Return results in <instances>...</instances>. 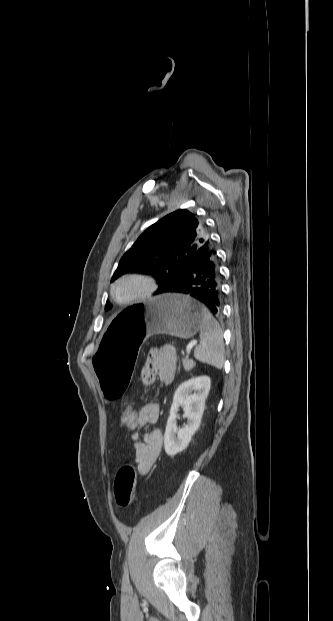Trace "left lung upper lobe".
<instances>
[{
    "mask_svg": "<svg viewBox=\"0 0 333 621\" xmlns=\"http://www.w3.org/2000/svg\"><path fill=\"white\" fill-rule=\"evenodd\" d=\"M205 243L212 244L202 219L186 209L172 212L139 236L121 258L111 281L128 272L152 275L159 284L155 294H160ZM109 308L107 301L105 310Z\"/></svg>",
    "mask_w": 333,
    "mask_h": 621,
    "instance_id": "obj_1",
    "label": "left lung upper lobe"
}]
</instances>
